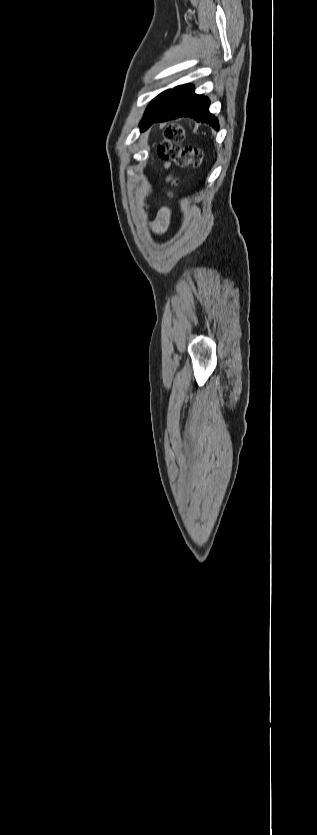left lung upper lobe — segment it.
<instances>
[{"label":"left lung upper lobe","mask_w":317,"mask_h":835,"mask_svg":"<svg viewBox=\"0 0 317 835\" xmlns=\"http://www.w3.org/2000/svg\"><path fill=\"white\" fill-rule=\"evenodd\" d=\"M171 92H172V89L166 90L152 100V102L149 104V106L147 107V109L144 113V117H143V121L141 122V125H143V123L147 119L153 117L161 109V107L168 100Z\"/></svg>","instance_id":"1"}]
</instances>
